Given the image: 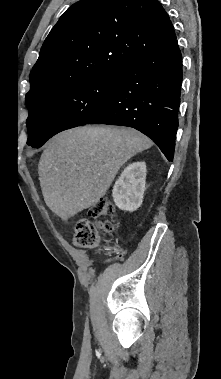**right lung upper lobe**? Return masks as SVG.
Listing matches in <instances>:
<instances>
[{
	"instance_id": "1",
	"label": "right lung upper lobe",
	"mask_w": 221,
	"mask_h": 379,
	"mask_svg": "<svg viewBox=\"0 0 221 379\" xmlns=\"http://www.w3.org/2000/svg\"><path fill=\"white\" fill-rule=\"evenodd\" d=\"M176 39L158 0H82L60 17L30 73L26 103L77 79L120 70Z\"/></svg>"
}]
</instances>
